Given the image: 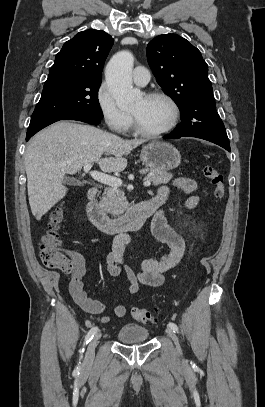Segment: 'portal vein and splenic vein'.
Masks as SVG:
<instances>
[{"label":"portal vein and splenic vein","mask_w":265,"mask_h":407,"mask_svg":"<svg viewBox=\"0 0 265 407\" xmlns=\"http://www.w3.org/2000/svg\"><path fill=\"white\" fill-rule=\"evenodd\" d=\"M92 163H88L86 165H84V172L85 173H89V175L96 181L102 183V184H106L109 185L111 187H119L122 185V180L115 177V176H111L102 172H98V171H92ZM143 185L145 187H149L151 185V181L150 180H145Z\"/></svg>","instance_id":"18ae733b"}]
</instances>
